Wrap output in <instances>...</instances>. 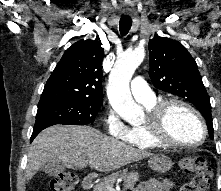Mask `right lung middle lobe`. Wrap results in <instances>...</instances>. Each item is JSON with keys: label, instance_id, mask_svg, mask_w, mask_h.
Instances as JSON below:
<instances>
[{"label": "right lung middle lobe", "instance_id": "1", "mask_svg": "<svg viewBox=\"0 0 221 191\" xmlns=\"http://www.w3.org/2000/svg\"><path fill=\"white\" fill-rule=\"evenodd\" d=\"M103 101L76 99L38 104L36 120L48 119L54 124L85 125L93 123Z\"/></svg>", "mask_w": 221, "mask_h": 191}]
</instances>
